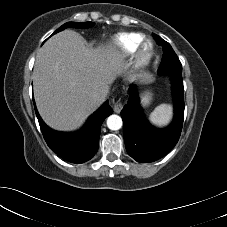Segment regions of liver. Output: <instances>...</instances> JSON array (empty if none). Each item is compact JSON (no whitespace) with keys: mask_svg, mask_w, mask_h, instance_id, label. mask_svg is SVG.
I'll return each instance as SVG.
<instances>
[{"mask_svg":"<svg viewBox=\"0 0 227 227\" xmlns=\"http://www.w3.org/2000/svg\"><path fill=\"white\" fill-rule=\"evenodd\" d=\"M123 55L114 46L91 48L81 35L62 31L43 45L36 56L33 84L38 111L56 130L79 128L101 103L95 92H109L117 76L129 82L146 75L127 72Z\"/></svg>","mask_w":227,"mask_h":227,"instance_id":"1","label":"liver"}]
</instances>
